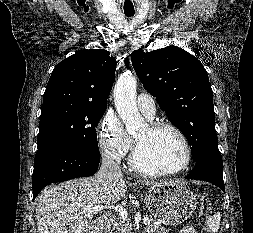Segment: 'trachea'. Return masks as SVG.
<instances>
[{"mask_svg": "<svg viewBox=\"0 0 253 233\" xmlns=\"http://www.w3.org/2000/svg\"><path fill=\"white\" fill-rule=\"evenodd\" d=\"M127 17H132L134 14L125 13Z\"/></svg>", "mask_w": 253, "mask_h": 233, "instance_id": "1", "label": "trachea"}]
</instances>
